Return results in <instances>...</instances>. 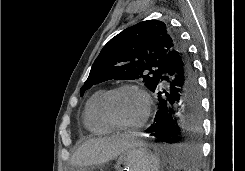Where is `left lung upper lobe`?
<instances>
[{"instance_id": "5c2ea615", "label": "left lung upper lobe", "mask_w": 245, "mask_h": 171, "mask_svg": "<svg viewBox=\"0 0 245 171\" xmlns=\"http://www.w3.org/2000/svg\"><path fill=\"white\" fill-rule=\"evenodd\" d=\"M182 44L178 34L158 20L143 21L123 30L101 50L80 96L93 85L111 79L143 78L153 92L163 76L167 56Z\"/></svg>"}]
</instances>
